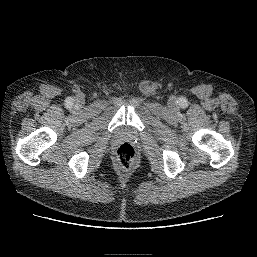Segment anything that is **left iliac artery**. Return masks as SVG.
Segmentation results:
<instances>
[{
	"label": "left iliac artery",
	"mask_w": 257,
	"mask_h": 257,
	"mask_svg": "<svg viewBox=\"0 0 257 257\" xmlns=\"http://www.w3.org/2000/svg\"><path fill=\"white\" fill-rule=\"evenodd\" d=\"M186 102H187V101H186V99H185V98H181V99H180V103H181V105H185V104H186Z\"/></svg>",
	"instance_id": "1"
}]
</instances>
